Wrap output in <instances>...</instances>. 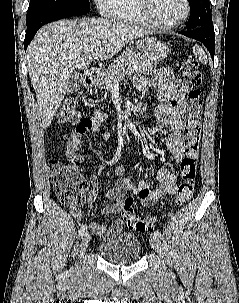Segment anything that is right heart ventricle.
Masks as SVG:
<instances>
[{
    "instance_id": "obj_1",
    "label": "right heart ventricle",
    "mask_w": 239,
    "mask_h": 303,
    "mask_svg": "<svg viewBox=\"0 0 239 303\" xmlns=\"http://www.w3.org/2000/svg\"><path fill=\"white\" fill-rule=\"evenodd\" d=\"M114 19L135 25H146L136 11L134 0H122Z\"/></svg>"
}]
</instances>
